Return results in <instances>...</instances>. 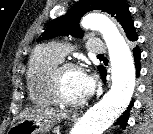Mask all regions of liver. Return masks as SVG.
Masks as SVG:
<instances>
[{
	"label": "liver",
	"mask_w": 153,
	"mask_h": 134,
	"mask_svg": "<svg viewBox=\"0 0 153 134\" xmlns=\"http://www.w3.org/2000/svg\"><path fill=\"white\" fill-rule=\"evenodd\" d=\"M67 116L68 113L62 110H55L52 108H29L24 110L19 117L20 119L26 120L38 118L39 121L52 127L57 121Z\"/></svg>",
	"instance_id": "6515ba94"
}]
</instances>
